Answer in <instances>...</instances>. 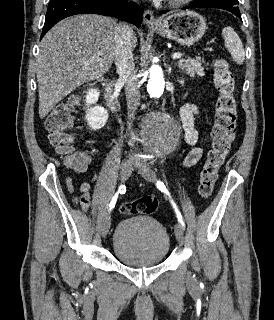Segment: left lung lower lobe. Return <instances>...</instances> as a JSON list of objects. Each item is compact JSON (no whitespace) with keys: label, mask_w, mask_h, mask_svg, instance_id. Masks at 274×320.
<instances>
[{"label":"left lung lower lobe","mask_w":274,"mask_h":320,"mask_svg":"<svg viewBox=\"0 0 274 320\" xmlns=\"http://www.w3.org/2000/svg\"><path fill=\"white\" fill-rule=\"evenodd\" d=\"M189 8H219V9H224V10L232 12L233 14H235L241 20V14H240L239 9L232 8V7H227V6H224L222 4H218V3H214V2L196 0L195 2L191 3L190 5L184 7L183 9H189ZM166 12H167V10L160 11V14H164Z\"/></svg>","instance_id":"obj_1"}]
</instances>
